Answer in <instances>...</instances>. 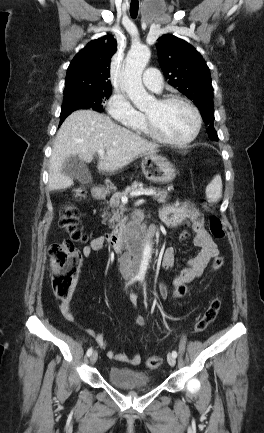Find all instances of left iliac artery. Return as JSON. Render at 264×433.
Wrapping results in <instances>:
<instances>
[{"label": "left iliac artery", "mask_w": 264, "mask_h": 433, "mask_svg": "<svg viewBox=\"0 0 264 433\" xmlns=\"http://www.w3.org/2000/svg\"><path fill=\"white\" fill-rule=\"evenodd\" d=\"M172 355L176 358V357H177V352H176V351H173V352H172Z\"/></svg>", "instance_id": "1"}]
</instances>
